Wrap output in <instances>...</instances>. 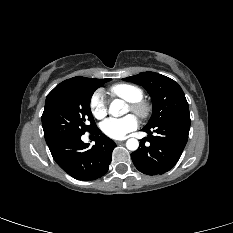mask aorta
I'll list each match as a JSON object with an SVG mask.
<instances>
[{"mask_svg":"<svg viewBox=\"0 0 233 233\" xmlns=\"http://www.w3.org/2000/svg\"><path fill=\"white\" fill-rule=\"evenodd\" d=\"M109 114H111L114 117H119L125 114V111L123 110V102L121 100H114L109 107ZM127 149L131 151H135L139 147V142L135 138H130L126 142Z\"/></svg>","mask_w":233,"mask_h":233,"instance_id":"762f6f07","label":"aorta"}]
</instances>
